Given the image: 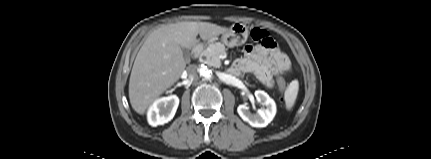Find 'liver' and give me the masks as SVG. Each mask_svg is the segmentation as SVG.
Listing matches in <instances>:
<instances>
[{
    "mask_svg": "<svg viewBox=\"0 0 431 159\" xmlns=\"http://www.w3.org/2000/svg\"><path fill=\"white\" fill-rule=\"evenodd\" d=\"M228 28L209 22L167 24L149 34L140 48L129 80V99L140 115L168 88L173 86L186 68L182 48L191 49L199 41L212 42Z\"/></svg>",
    "mask_w": 431,
    "mask_h": 159,
    "instance_id": "obj_1",
    "label": "liver"
}]
</instances>
